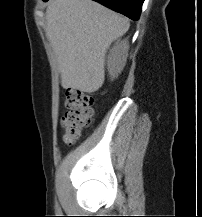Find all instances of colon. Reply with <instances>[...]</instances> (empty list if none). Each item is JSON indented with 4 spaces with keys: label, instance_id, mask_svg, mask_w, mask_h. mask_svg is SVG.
<instances>
[{
    "label": "colon",
    "instance_id": "5ec220e1",
    "mask_svg": "<svg viewBox=\"0 0 202 217\" xmlns=\"http://www.w3.org/2000/svg\"><path fill=\"white\" fill-rule=\"evenodd\" d=\"M65 98L67 110L62 117L63 141L70 145L76 142L90 125L94 99L85 92L73 89L65 92Z\"/></svg>",
    "mask_w": 202,
    "mask_h": 217
}]
</instances>
